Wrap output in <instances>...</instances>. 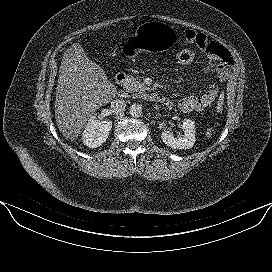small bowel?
<instances>
[{
	"label": "small bowel",
	"mask_w": 272,
	"mask_h": 272,
	"mask_svg": "<svg viewBox=\"0 0 272 272\" xmlns=\"http://www.w3.org/2000/svg\"><path fill=\"white\" fill-rule=\"evenodd\" d=\"M185 38L188 42L195 44L207 56L208 63L203 67V70L215 72L218 81L224 82L229 76L233 63L232 55L228 49L211 41L205 34L193 30H187ZM218 93V87L213 85L201 95L181 98L177 104L183 112L202 111L215 101Z\"/></svg>",
	"instance_id": "1"
}]
</instances>
